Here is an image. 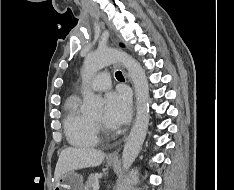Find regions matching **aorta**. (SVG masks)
<instances>
[{"mask_svg": "<svg viewBox=\"0 0 234 190\" xmlns=\"http://www.w3.org/2000/svg\"><path fill=\"white\" fill-rule=\"evenodd\" d=\"M115 62L122 63L128 70L136 94V118L122 153L123 168L127 170L138 156L148 130L150 96L145 71L127 53L115 48H105L98 49L85 58L83 76L88 80L99 70ZM84 100L90 112L97 111L102 105V98L89 91L84 93Z\"/></svg>", "mask_w": 234, "mask_h": 190, "instance_id": "aorta-1", "label": "aorta"}]
</instances>
